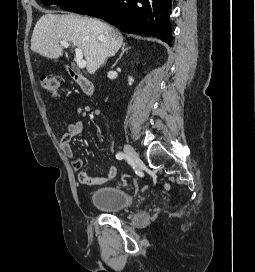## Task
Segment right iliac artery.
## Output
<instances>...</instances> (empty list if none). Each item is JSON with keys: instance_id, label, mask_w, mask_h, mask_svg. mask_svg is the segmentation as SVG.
<instances>
[{"instance_id": "obj_1", "label": "right iliac artery", "mask_w": 255, "mask_h": 272, "mask_svg": "<svg viewBox=\"0 0 255 272\" xmlns=\"http://www.w3.org/2000/svg\"><path fill=\"white\" fill-rule=\"evenodd\" d=\"M116 158H117L118 160H122V159L124 158L123 152H118V153L116 154Z\"/></svg>"}]
</instances>
